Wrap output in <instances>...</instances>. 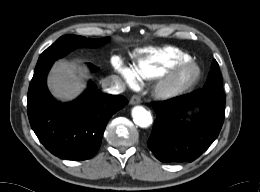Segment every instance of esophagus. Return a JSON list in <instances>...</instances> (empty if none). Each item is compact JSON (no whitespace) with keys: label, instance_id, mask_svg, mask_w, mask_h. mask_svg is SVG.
Returning a JSON list of instances; mask_svg holds the SVG:
<instances>
[{"label":"esophagus","instance_id":"1","mask_svg":"<svg viewBox=\"0 0 260 192\" xmlns=\"http://www.w3.org/2000/svg\"><path fill=\"white\" fill-rule=\"evenodd\" d=\"M141 102V98L138 95H133L130 99V104L131 105H136Z\"/></svg>","mask_w":260,"mask_h":192}]
</instances>
